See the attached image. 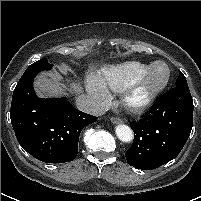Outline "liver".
<instances>
[{"label": "liver", "mask_w": 201, "mask_h": 201, "mask_svg": "<svg viewBox=\"0 0 201 201\" xmlns=\"http://www.w3.org/2000/svg\"><path fill=\"white\" fill-rule=\"evenodd\" d=\"M61 79L62 76L57 72L39 75L35 81L38 94L41 97H53L62 94L66 90L74 93L81 92V87L78 83L71 82L65 85L59 82Z\"/></svg>", "instance_id": "6515ba94"}]
</instances>
